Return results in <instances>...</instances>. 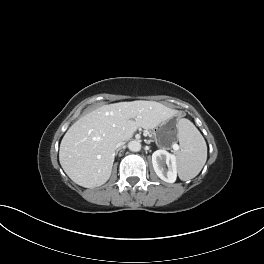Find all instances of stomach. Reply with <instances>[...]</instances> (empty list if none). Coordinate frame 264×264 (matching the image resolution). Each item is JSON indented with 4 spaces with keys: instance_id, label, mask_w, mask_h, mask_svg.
I'll list each match as a JSON object with an SVG mask.
<instances>
[{
    "instance_id": "1",
    "label": "stomach",
    "mask_w": 264,
    "mask_h": 264,
    "mask_svg": "<svg viewBox=\"0 0 264 264\" xmlns=\"http://www.w3.org/2000/svg\"><path fill=\"white\" fill-rule=\"evenodd\" d=\"M183 119L181 114L172 115L154 131L155 145L159 149H166L177 141V123Z\"/></svg>"
}]
</instances>
